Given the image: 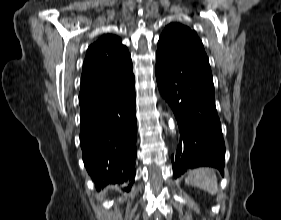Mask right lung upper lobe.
Returning a JSON list of instances; mask_svg holds the SVG:
<instances>
[{
	"label": "right lung upper lobe",
	"instance_id": "right-lung-upper-lobe-1",
	"mask_svg": "<svg viewBox=\"0 0 281 220\" xmlns=\"http://www.w3.org/2000/svg\"><path fill=\"white\" fill-rule=\"evenodd\" d=\"M134 79L131 56L121 39L106 34L89 46L79 100L119 89Z\"/></svg>",
	"mask_w": 281,
	"mask_h": 220
}]
</instances>
